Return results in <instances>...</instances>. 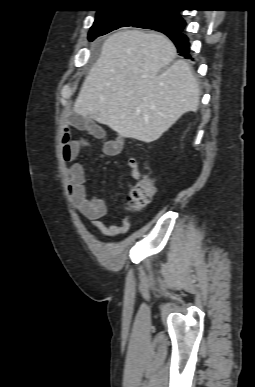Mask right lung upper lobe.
Segmentation results:
<instances>
[{
  "mask_svg": "<svg viewBox=\"0 0 255 387\" xmlns=\"http://www.w3.org/2000/svg\"><path fill=\"white\" fill-rule=\"evenodd\" d=\"M106 1L103 8L98 9L97 13L126 11L135 8L157 9L172 7L175 0H104ZM178 12L174 9H171Z\"/></svg>",
  "mask_w": 255,
  "mask_h": 387,
  "instance_id": "1",
  "label": "right lung upper lobe"
}]
</instances>
